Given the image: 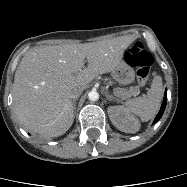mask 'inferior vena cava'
<instances>
[{
	"mask_svg": "<svg viewBox=\"0 0 187 187\" xmlns=\"http://www.w3.org/2000/svg\"><path fill=\"white\" fill-rule=\"evenodd\" d=\"M84 88L83 87H76L71 91V98L76 99L83 93Z\"/></svg>",
	"mask_w": 187,
	"mask_h": 187,
	"instance_id": "inferior-vena-cava-1",
	"label": "inferior vena cava"
}]
</instances>
